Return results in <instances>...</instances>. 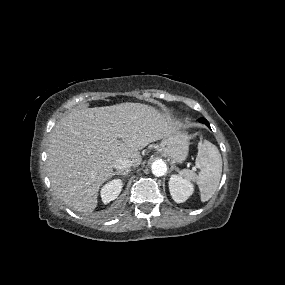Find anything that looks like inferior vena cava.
Segmentation results:
<instances>
[{"instance_id": "1", "label": "inferior vena cava", "mask_w": 285, "mask_h": 285, "mask_svg": "<svg viewBox=\"0 0 285 285\" xmlns=\"http://www.w3.org/2000/svg\"><path fill=\"white\" fill-rule=\"evenodd\" d=\"M131 166H133L132 161L125 159V158H119L115 161L114 163V168L123 171V170H128Z\"/></svg>"}]
</instances>
